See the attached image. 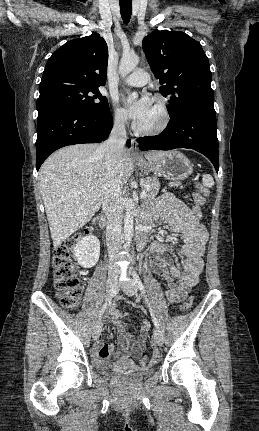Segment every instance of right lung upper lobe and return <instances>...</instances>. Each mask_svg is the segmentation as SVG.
Listing matches in <instances>:
<instances>
[{
  "label": "right lung upper lobe",
  "mask_w": 259,
  "mask_h": 431,
  "mask_svg": "<svg viewBox=\"0 0 259 431\" xmlns=\"http://www.w3.org/2000/svg\"><path fill=\"white\" fill-rule=\"evenodd\" d=\"M108 48L98 33L66 42L49 58L40 83L68 82L81 87L105 85ZM40 97V96H39Z\"/></svg>",
  "instance_id": "right-lung-upper-lobe-1"
}]
</instances>
